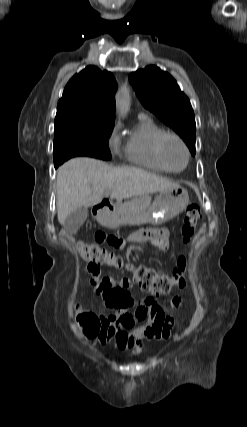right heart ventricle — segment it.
<instances>
[{
	"mask_svg": "<svg viewBox=\"0 0 247 427\" xmlns=\"http://www.w3.org/2000/svg\"><path fill=\"white\" fill-rule=\"evenodd\" d=\"M165 132L152 118L141 115L129 133L125 146V158L149 170L167 173L169 170L161 163L156 152V142Z\"/></svg>",
	"mask_w": 247,
	"mask_h": 427,
	"instance_id": "1",
	"label": "right heart ventricle"
}]
</instances>
